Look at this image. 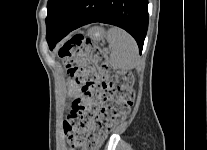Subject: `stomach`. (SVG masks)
Here are the masks:
<instances>
[{"label": "stomach", "mask_w": 207, "mask_h": 150, "mask_svg": "<svg viewBox=\"0 0 207 150\" xmlns=\"http://www.w3.org/2000/svg\"><path fill=\"white\" fill-rule=\"evenodd\" d=\"M88 34L95 39H100L102 37L103 30L98 26H94L88 30Z\"/></svg>", "instance_id": "obj_1"}]
</instances>
